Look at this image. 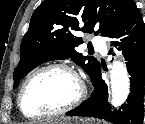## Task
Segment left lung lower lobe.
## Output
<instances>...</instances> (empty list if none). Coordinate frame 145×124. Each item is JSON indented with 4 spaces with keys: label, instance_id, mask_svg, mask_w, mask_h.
<instances>
[{
    "label": "left lung lower lobe",
    "instance_id": "left-lung-lower-lobe-1",
    "mask_svg": "<svg viewBox=\"0 0 145 124\" xmlns=\"http://www.w3.org/2000/svg\"><path fill=\"white\" fill-rule=\"evenodd\" d=\"M111 44L123 51L130 77V91L126 103L118 110L108 104V86L101 77V67L93 81L92 95L81 105L66 113L68 116H87L105 119L114 124H142L145 84V30L136 4L126 19L110 37ZM113 49H110L112 52Z\"/></svg>",
    "mask_w": 145,
    "mask_h": 124
}]
</instances>
